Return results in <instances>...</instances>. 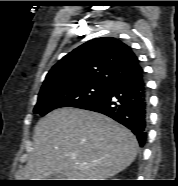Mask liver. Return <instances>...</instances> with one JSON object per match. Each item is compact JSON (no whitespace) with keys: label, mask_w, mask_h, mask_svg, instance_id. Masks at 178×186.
Wrapping results in <instances>:
<instances>
[{"label":"liver","mask_w":178,"mask_h":186,"mask_svg":"<svg viewBox=\"0 0 178 186\" xmlns=\"http://www.w3.org/2000/svg\"><path fill=\"white\" fill-rule=\"evenodd\" d=\"M138 142L113 119L88 110L60 108L41 118L34 129L33 151L22 178L106 180L135 160Z\"/></svg>","instance_id":"liver-1"}]
</instances>
